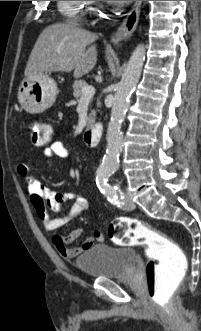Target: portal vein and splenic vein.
Wrapping results in <instances>:
<instances>
[{
    "label": "portal vein and splenic vein",
    "mask_w": 201,
    "mask_h": 331,
    "mask_svg": "<svg viewBox=\"0 0 201 331\" xmlns=\"http://www.w3.org/2000/svg\"><path fill=\"white\" fill-rule=\"evenodd\" d=\"M95 94V88L93 86H86L82 89V99L91 98Z\"/></svg>",
    "instance_id": "portal-vein-and-splenic-vein-1"
}]
</instances>
